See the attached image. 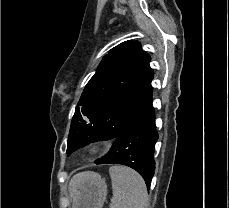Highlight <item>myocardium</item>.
<instances>
[{
    "label": "myocardium",
    "instance_id": "f54148a6",
    "mask_svg": "<svg viewBox=\"0 0 229 208\" xmlns=\"http://www.w3.org/2000/svg\"><path fill=\"white\" fill-rule=\"evenodd\" d=\"M116 145V139L108 134H100L81 146L80 152L85 159L94 160L108 152Z\"/></svg>",
    "mask_w": 229,
    "mask_h": 208
}]
</instances>
